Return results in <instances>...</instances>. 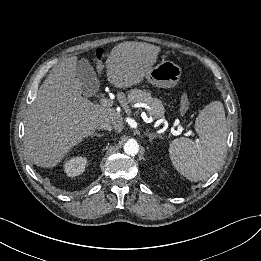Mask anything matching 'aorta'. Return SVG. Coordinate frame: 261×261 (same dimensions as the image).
Masks as SVG:
<instances>
[{
    "label": "aorta",
    "instance_id": "762f6f07",
    "mask_svg": "<svg viewBox=\"0 0 261 261\" xmlns=\"http://www.w3.org/2000/svg\"><path fill=\"white\" fill-rule=\"evenodd\" d=\"M124 152L127 155L135 156L139 151V145L137 141L130 139L124 144Z\"/></svg>",
    "mask_w": 261,
    "mask_h": 261
}]
</instances>
